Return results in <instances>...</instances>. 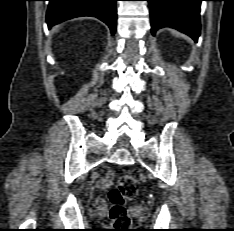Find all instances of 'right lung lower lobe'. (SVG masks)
<instances>
[{"instance_id": "right-lung-lower-lobe-1", "label": "right lung lower lobe", "mask_w": 234, "mask_h": 231, "mask_svg": "<svg viewBox=\"0 0 234 231\" xmlns=\"http://www.w3.org/2000/svg\"><path fill=\"white\" fill-rule=\"evenodd\" d=\"M117 0H49L46 21L48 27L65 20L93 16L106 23L111 34L116 30Z\"/></svg>"}]
</instances>
